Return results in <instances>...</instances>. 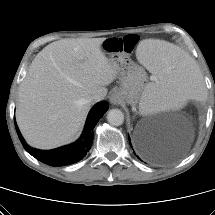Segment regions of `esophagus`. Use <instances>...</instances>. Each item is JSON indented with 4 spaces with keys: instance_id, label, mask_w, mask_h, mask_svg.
Returning a JSON list of instances; mask_svg holds the SVG:
<instances>
[{
    "instance_id": "obj_1",
    "label": "esophagus",
    "mask_w": 215,
    "mask_h": 215,
    "mask_svg": "<svg viewBox=\"0 0 215 215\" xmlns=\"http://www.w3.org/2000/svg\"><path fill=\"white\" fill-rule=\"evenodd\" d=\"M110 102L114 105H118L121 102V95L118 91L112 92L110 95Z\"/></svg>"
}]
</instances>
